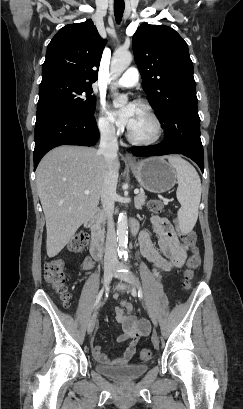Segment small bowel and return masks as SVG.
I'll use <instances>...</instances> for the list:
<instances>
[{
	"label": "small bowel",
	"instance_id": "obj_1",
	"mask_svg": "<svg viewBox=\"0 0 243 409\" xmlns=\"http://www.w3.org/2000/svg\"><path fill=\"white\" fill-rule=\"evenodd\" d=\"M151 224L157 236L155 247L147 231L139 232V243L143 256L152 263L155 275L159 273L170 272L174 268H180L185 264L188 246L183 244L169 221L163 217L153 216ZM133 230L137 231L136 223L132 224ZM94 264L87 259L82 264L84 271L93 268ZM119 294L114 295L118 299ZM132 305L127 301H121L115 308L116 319L122 326V333L117 337V343L128 342L124 353L117 358H109L103 353L101 347L97 344L91 345V352L94 359L101 363L126 364L135 354L137 343L140 337L148 333L149 327L145 321L136 319L132 314Z\"/></svg>",
	"mask_w": 243,
	"mask_h": 409
}]
</instances>
